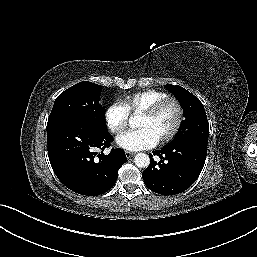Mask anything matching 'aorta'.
Listing matches in <instances>:
<instances>
[{
	"label": "aorta",
	"mask_w": 257,
	"mask_h": 257,
	"mask_svg": "<svg viewBox=\"0 0 257 257\" xmlns=\"http://www.w3.org/2000/svg\"><path fill=\"white\" fill-rule=\"evenodd\" d=\"M130 124H134V118L130 119ZM134 162L139 168H147L150 164V158L145 153H138L135 155Z\"/></svg>",
	"instance_id": "obj_1"
}]
</instances>
